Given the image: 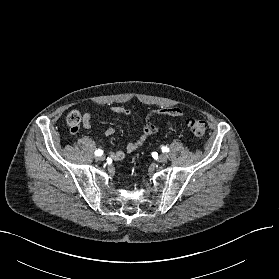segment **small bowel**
I'll list each match as a JSON object with an SVG mask.
<instances>
[{
    "label": "small bowel",
    "mask_w": 279,
    "mask_h": 279,
    "mask_svg": "<svg viewBox=\"0 0 279 279\" xmlns=\"http://www.w3.org/2000/svg\"><path fill=\"white\" fill-rule=\"evenodd\" d=\"M112 113L115 115H130L131 111L123 106H115L112 109ZM182 110L179 107H163L160 108L152 113L149 114L146 124L143 126L139 138L134 141L128 142L126 145L125 149H120L116 150L113 152H110V156L112 159L116 161H120L124 159V157L127 154L133 153L135 150H137L140 146L143 145V143L147 140V138L158 132L160 127L154 124V119L158 116H170L173 118H178L182 116ZM91 119H92V114L90 112H86L83 117H82V125L85 129H89L91 127ZM115 130L112 127H108L105 130V135L110 137L114 135Z\"/></svg>",
    "instance_id": "c3829d8e"
}]
</instances>
